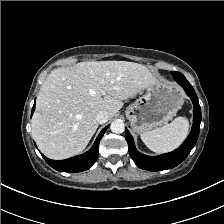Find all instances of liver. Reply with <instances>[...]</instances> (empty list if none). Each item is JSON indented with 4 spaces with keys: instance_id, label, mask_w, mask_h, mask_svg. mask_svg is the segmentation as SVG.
I'll return each mask as SVG.
<instances>
[{
    "instance_id": "1",
    "label": "liver",
    "mask_w": 224,
    "mask_h": 224,
    "mask_svg": "<svg viewBox=\"0 0 224 224\" xmlns=\"http://www.w3.org/2000/svg\"><path fill=\"white\" fill-rule=\"evenodd\" d=\"M156 82L144 65L127 61L80 62L57 68L37 96L32 137L50 159L78 155L98 128V112L107 111L113 117L123 100Z\"/></svg>"
}]
</instances>
